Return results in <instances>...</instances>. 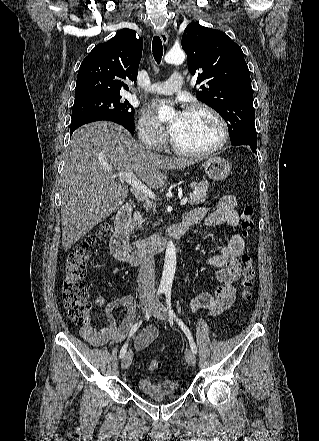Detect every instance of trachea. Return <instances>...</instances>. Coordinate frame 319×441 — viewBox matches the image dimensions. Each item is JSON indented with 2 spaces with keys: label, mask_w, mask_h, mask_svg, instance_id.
<instances>
[{
  "label": "trachea",
  "mask_w": 319,
  "mask_h": 441,
  "mask_svg": "<svg viewBox=\"0 0 319 441\" xmlns=\"http://www.w3.org/2000/svg\"><path fill=\"white\" fill-rule=\"evenodd\" d=\"M152 52L157 63L161 62L163 55L162 41L159 36H154L152 41Z\"/></svg>",
  "instance_id": "trachea-1"
}]
</instances>
